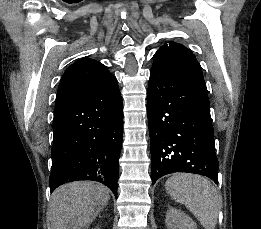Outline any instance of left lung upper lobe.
I'll return each mask as SVG.
<instances>
[{
  "label": "left lung upper lobe",
  "instance_id": "5c2ea615",
  "mask_svg": "<svg viewBox=\"0 0 261 229\" xmlns=\"http://www.w3.org/2000/svg\"><path fill=\"white\" fill-rule=\"evenodd\" d=\"M152 67L203 78L202 68L193 53L185 46L174 42L163 45L154 54Z\"/></svg>",
  "mask_w": 261,
  "mask_h": 229
}]
</instances>
